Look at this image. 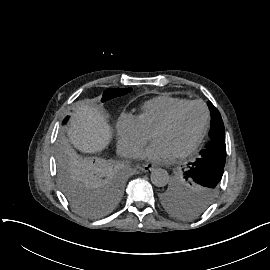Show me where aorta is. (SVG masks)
<instances>
[{"label":"aorta","mask_w":270,"mask_h":270,"mask_svg":"<svg viewBox=\"0 0 270 270\" xmlns=\"http://www.w3.org/2000/svg\"><path fill=\"white\" fill-rule=\"evenodd\" d=\"M151 182L157 187L167 185L169 180L168 172L162 168L153 169L151 172Z\"/></svg>","instance_id":"762f6f07"}]
</instances>
